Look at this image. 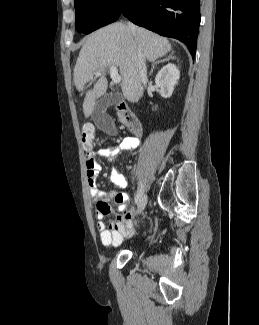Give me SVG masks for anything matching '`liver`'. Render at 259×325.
<instances>
[{"label": "liver", "instance_id": "6515ba94", "mask_svg": "<svg viewBox=\"0 0 259 325\" xmlns=\"http://www.w3.org/2000/svg\"><path fill=\"white\" fill-rule=\"evenodd\" d=\"M172 49L169 41L151 31L136 27L135 33L128 25L115 22L90 34L79 53L74 68V84L83 91L85 84L93 79L96 72L101 76L92 90L85 95L83 112L89 117L94 111L97 98L107 90L105 71L111 66L119 68L124 97L137 102L143 95V86L137 69V56L140 52L144 59L154 62Z\"/></svg>", "mask_w": 259, "mask_h": 325}]
</instances>
